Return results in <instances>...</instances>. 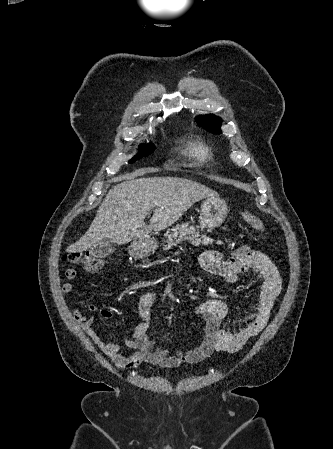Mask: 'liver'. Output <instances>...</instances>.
Instances as JSON below:
<instances>
[{
	"instance_id": "obj_1",
	"label": "liver",
	"mask_w": 333,
	"mask_h": 449,
	"mask_svg": "<svg viewBox=\"0 0 333 449\" xmlns=\"http://www.w3.org/2000/svg\"><path fill=\"white\" fill-rule=\"evenodd\" d=\"M218 196L211 188L189 179H128L109 190L88 231L67 252H83L103 241L123 245L143 239L152 230L172 225L199 200ZM151 210L147 225L144 220Z\"/></svg>"
}]
</instances>
